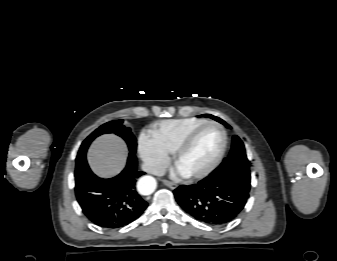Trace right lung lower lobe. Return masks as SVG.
<instances>
[{"mask_svg":"<svg viewBox=\"0 0 337 261\" xmlns=\"http://www.w3.org/2000/svg\"><path fill=\"white\" fill-rule=\"evenodd\" d=\"M145 174L137 170L135 153H129L125 169L116 177L102 179L90 170L86 155L76 161L75 194L83 213L96 225L117 229L136 220L147 208L136 191L137 179Z\"/></svg>","mask_w":337,"mask_h":261,"instance_id":"obj_1","label":"right lung lower lobe"}]
</instances>
